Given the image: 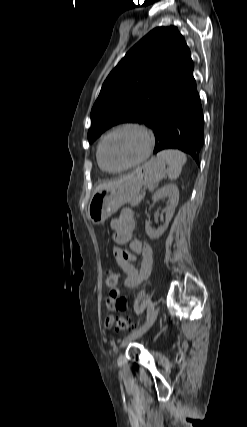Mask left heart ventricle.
I'll use <instances>...</instances> for the list:
<instances>
[{
    "label": "left heart ventricle",
    "instance_id": "left-heart-ventricle-1",
    "mask_svg": "<svg viewBox=\"0 0 247 427\" xmlns=\"http://www.w3.org/2000/svg\"><path fill=\"white\" fill-rule=\"evenodd\" d=\"M146 139L135 129H123L113 134L104 144L102 157L111 169L121 168L136 161L144 152Z\"/></svg>",
    "mask_w": 247,
    "mask_h": 427
}]
</instances>
